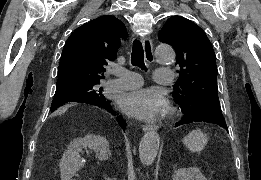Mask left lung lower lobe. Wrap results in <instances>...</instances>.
Wrapping results in <instances>:
<instances>
[{"instance_id":"0a47b994","label":"left lung lower lobe","mask_w":261,"mask_h":180,"mask_svg":"<svg viewBox=\"0 0 261 180\" xmlns=\"http://www.w3.org/2000/svg\"><path fill=\"white\" fill-rule=\"evenodd\" d=\"M183 117L176 123V127L193 122H207L216 124L227 130L225 119L221 110L212 107H201L195 110V106L181 107Z\"/></svg>"}]
</instances>
